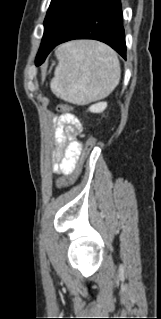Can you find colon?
Masks as SVG:
<instances>
[{"instance_id": "colon-1", "label": "colon", "mask_w": 161, "mask_h": 319, "mask_svg": "<svg viewBox=\"0 0 161 319\" xmlns=\"http://www.w3.org/2000/svg\"><path fill=\"white\" fill-rule=\"evenodd\" d=\"M60 109H62L63 111L66 112H71L73 111V107L70 105H61ZM96 144V139L94 137H89L86 140L83 152H82V156L79 160V162L77 163L75 169L73 170V172L68 175L67 177L61 178L57 181V184L59 187H67L69 185H72L74 182H76V180L78 179V177L80 176L81 172H82V165H83V159L85 157V155L93 149V147Z\"/></svg>"}]
</instances>
